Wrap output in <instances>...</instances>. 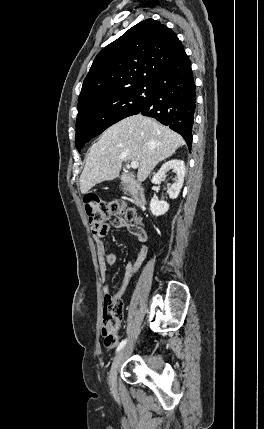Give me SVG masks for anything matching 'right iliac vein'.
<instances>
[{
  "mask_svg": "<svg viewBox=\"0 0 264 429\" xmlns=\"http://www.w3.org/2000/svg\"><path fill=\"white\" fill-rule=\"evenodd\" d=\"M127 348L121 349L117 355L114 357L110 371H109V381L112 386H114L116 382L117 371L120 366V363L124 357Z\"/></svg>",
  "mask_w": 264,
  "mask_h": 429,
  "instance_id": "1",
  "label": "right iliac vein"
}]
</instances>
